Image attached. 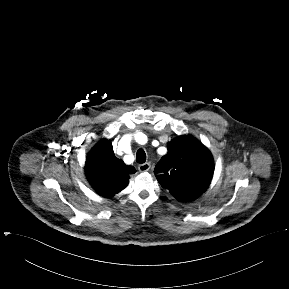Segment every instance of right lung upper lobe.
I'll use <instances>...</instances> for the list:
<instances>
[{
    "mask_svg": "<svg viewBox=\"0 0 289 289\" xmlns=\"http://www.w3.org/2000/svg\"><path fill=\"white\" fill-rule=\"evenodd\" d=\"M86 176L98 194L111 197L123 190L129 173L136 172L115 157L110 141L103 139L88 154L85 163Z\"/></svg>",
    "mask_w": 289,
    "mask_h": 289,
    "instance_id": "right-lung-upper-lobe-1",
    "label": "right lung upper lobe"
}]
</instances>
